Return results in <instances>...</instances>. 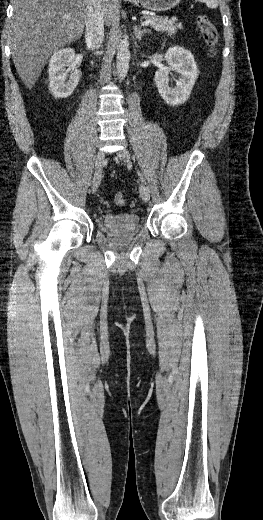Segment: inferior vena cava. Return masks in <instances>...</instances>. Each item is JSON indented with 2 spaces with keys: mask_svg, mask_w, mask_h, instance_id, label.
<instances>
[{
  "mask_svg": "<svg viewBox=\"0 0 263 520\" xmlns=\"http://www.w3.org/2000/svg\"><path fill=\"white\" fill-rule=\"evenodd\" d=\"M103 0H88L87 19L85 21V39L87 48L98 49L104 38Z\"/></svg>",
  "mask_w": 263,
  "mask_h": 520,
  "instance_id": "1",
  "label": "inferior vena cava"
}]
</instances>
